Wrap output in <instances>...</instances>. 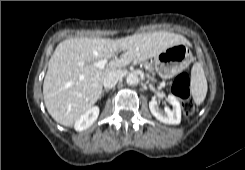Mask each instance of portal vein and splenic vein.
Masks as SVG:
<instances>
[{
    "label": "portal vein and splenic vein",
    "instance_id": "1",
    "mask_svg": "<svg viewBox=\"0 0 245 170\" xmlns=\"http://www.w3.org/2000/svg\"><path fill=\"white\" fill-rule=\"evenodd\" d=\"M108 60L107 59H101L99 61H97L94 65L98 68H104L105 65L107 64Z\"/></svg>",
    "mask_w": 245,
    "mask_h": 170
}]
</instances>
